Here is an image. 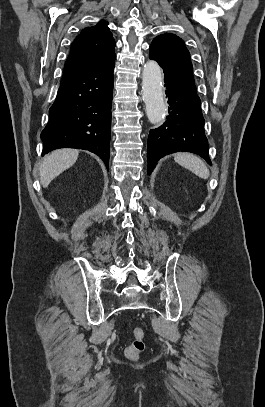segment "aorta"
I'll list each match as a JSON object with an SVG mask.
<instances>
[{
	"mask_svg": "<svg viewBox=\"0 0 265 407\" xmlns=\"http://www.w3.org/2000/svg\"><path fill=\"white\" fill-rule=\"evenodd\" d=\"M162 69L156 61H148L142 72V99L146 114L152 124L163 121L167 111L162 88Z\"/></svg>",
	"mask_w": 265,
	"mask_h": 407,
	"instance_id": "1",
	"label": "aorta"
}]
</instances>
